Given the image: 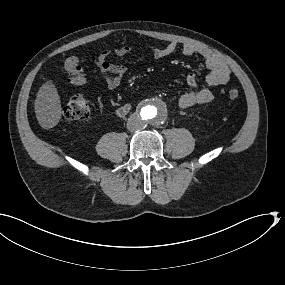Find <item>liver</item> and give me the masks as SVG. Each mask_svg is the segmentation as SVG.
<instances>
[{
    "instance_id": "1",
    "label": "liver",
    "mask_w": 285,
    "mask_h": 285,
    "mask_svg": "<svg viewBox=\"0 0 285 285\" xmlns=\"http://www.w3.org/2000/svg\"><path fill=\"white\" fill-rule=\"evenodd\" d=\"M36 118L44 129L55 127L62 115L60 97L52 81L43 84L34 103Z\"/></svg>"
}]
</instances>
